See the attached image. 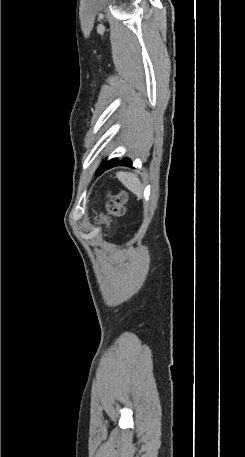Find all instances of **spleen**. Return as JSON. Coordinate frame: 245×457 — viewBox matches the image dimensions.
Instances as JSON below:
<instances>
[{"instance_id":"3e777b00","label":"spleen","mask_w":245,"mask_h":457,"mask_svg":"<svg viewBox=\"0 0 245 457\" xmlns=\"http://www.w3.org/2000/svg\"><path fill=\"white\" fill-rule=\"evenodd\" d=\"M117 178L131 190V192H134L138 198H142L143 196V186L141 184L140 178L136 176V174H133V172H122V170H119V172H116Z\"/></svg>"}]
</instances>
